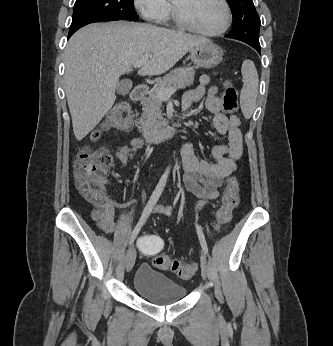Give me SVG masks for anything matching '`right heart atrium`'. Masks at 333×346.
<instances>
[{
  "label": "right heart atrium",
  "mask_w": 333,
  "mask_h": 346,
  "mask_svg": "<svg viewBox=\"0 0 333 346\" xmlns=\"http://www.w3.org/2000/svg\"><path fill=\"white\" fill-rule=\"evenodd\" d=\"M133 2L141 15L151 22L166 20L171 12V5L168 0H134Z\"/></svg>",
  "instance_id": "right-heart-atrium-1"
}]
</instances>
